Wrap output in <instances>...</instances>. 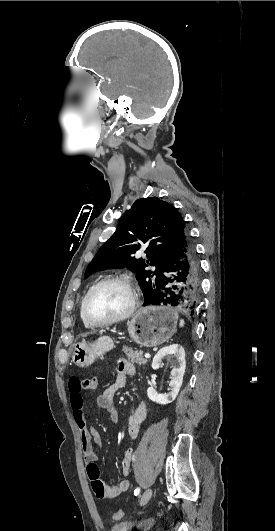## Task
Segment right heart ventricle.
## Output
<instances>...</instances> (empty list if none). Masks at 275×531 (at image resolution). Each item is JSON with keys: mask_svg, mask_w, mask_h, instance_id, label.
Returning a JSON list of instances; mask_svg holds the SVG:
<instances>
[{"mask_svg": "<svg viewBox=\"0 0 275 531\" xmlns=\"http://www.w3.org/2000/svg\"><path fill=\"white\" fill-rule=\"evenodd\" d=\"M84 324H85V326H87V327H89V326H90V325H88V324H87V323H85V322H84Z\"/></svg>", "mask_w": 275, "mask_h": 531, "instance_id": "right-heart-ventricle-1", "label": "right heart ventricle"}]
</instances>
